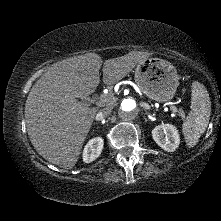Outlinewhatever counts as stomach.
<instances>
[{
    "label": "stomach",
    "instance_id": "1",
    "mask_svg": "<svg viewBox=\"0 0 221 221\" xmlns=\"http://www.w3.org/2000/svg\"><path fill=\"white\" fill-rule=\"evenodd\" d=\"M176 68L167 60L147 58L137 64L135 82L140 90L156 102L170 101L178 87Z\"/></svg>",
    "mask_w": 221,
    "mask_h": 221
}]
</instances>
